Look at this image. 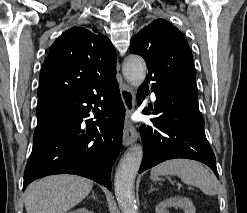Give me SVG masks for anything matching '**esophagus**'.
Instances as JSON below:
<instances>
[{"label":"esophagus","mask_w":247,"mask_h":213,"mask_svg":"<svg viewBox=\"0 0 247 213\" xmlns=\"http://www.w3.org/2000/svg\"><path fill=\"white\" fill-rule=\"evenodd\" d=\"M120 94L126 109V119L123 131V145L129 146L132 143H134L138 138L137 130L130 120V116L132 115L135 109V93L130 86L121 83Z\"/></svg>","instance_id":"1"}]
</instances>
